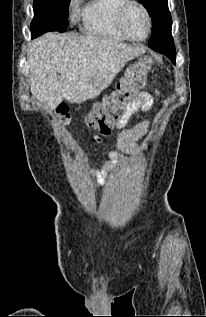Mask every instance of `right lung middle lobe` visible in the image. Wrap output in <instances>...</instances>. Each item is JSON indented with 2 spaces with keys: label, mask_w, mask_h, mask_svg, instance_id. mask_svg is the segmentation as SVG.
<instances>
[{
  "label": "right lung middle lobe",
  "mask_w": 206,
  "mask_h": 317,
  "mask_svg": "<svg viewBox=\"0 0 206 317\" xmlns=\"http://www.w3.org/2000/svg\"><path fill=\"white\" fill-rule=\"evenodd\" d=\"M70 0H34L32 38L49 31L64 32L68 26Z\"/></svg>",
  "instance_id": "dd1d6c3e"
}]
</instances>
